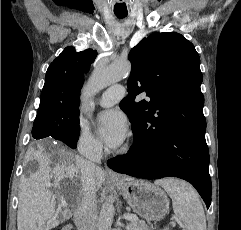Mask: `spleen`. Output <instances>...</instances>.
<instances>
[{"label":"spleen","mask_w":241,"mask_h":230,"mask_svg":"<svg viewBox=\"0 0 241 230\" xmlns=\"http://www.w3.org/2000/svg\"><path fill=\"white\" fill-rule=\"evenodd\" d=\"M172 199L175 215L183 221L185 230H206V218L200 197L195 189L177 179L157 182Z\"/></svg>","instance_id":"3e777b00"}]
</instances>
